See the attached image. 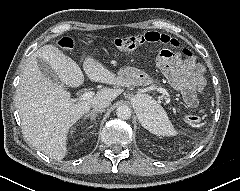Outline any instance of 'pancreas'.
Listing matches in <instances>:
<instances>
[{
    "instance_id": "pancreas-1",
    "label": "pancreas",
    "mask_w": 240,
    "mask_h": 191,
    "mask_svg": "<svg viewBox=\"0 0 240 191\" xmlns=\"http://www.w3.org/2000/svg\"><path fill=\"white\" fill-rule=\"evenodd\" d=\"M153 87L157 88L158 86L157 85H153Z\"/></svg>"
}]
</instances>
